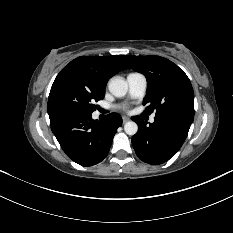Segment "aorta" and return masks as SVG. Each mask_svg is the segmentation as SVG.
Masks as SVG:
<instances>
[{"mask_svg": "<svg viewBox=\"0 0 233 233\" xmlns=\"http://www.w3.org/2000/svg\"><path fill=\"white\" fill-rule=\"evenodd\" d=\"M108 89L115 97H123L128 91V84L124 79L116 77L109 81ZM124 131L128 135H135L138 131V125L134 121H129L125 123Z\"/></svg>", "mask_w": 233, "mask_h": 233, "instance_id": "aorta-1", "label": "aorta"}]
</instances>
